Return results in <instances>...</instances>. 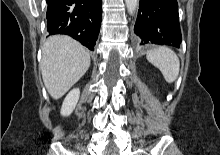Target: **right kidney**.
<instances>
[{
	"label": "right kidney",
	"mask_w": 220,
	"mask_h": 155,
	"mask_svg": "<svg viewBox=\"0 0 220 155\" xmlns=\"http://www.w3.org/2000/svg\"><path fill=\"white\" fill-rule=\"evenodd\" d=\"M79 96L80 90L78 88H74L67 94L61 107L62 116H69L73 112L79 100Z\"/></svg>",
	"instance_id": "1"
}]
</instances>
